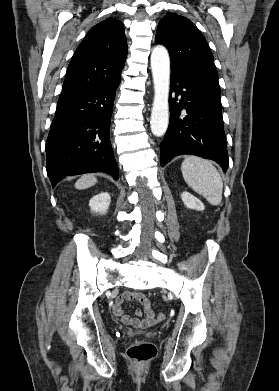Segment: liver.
<instances>
[{"label": "liver", "instance_id": "1", "mask_svg": "<svg viewBox=\"0 0 279 391\" xmlns=\"http://www.w3.org/2000/svg\"><path fill=\"white\" fill-rule=\"evenodd\" d=\"M97 182V179L93 175H83L75 183V188L86 189L93 186Z\"/></svg>", "mask_w": 279, "mask_h": 391}]
</instances>
